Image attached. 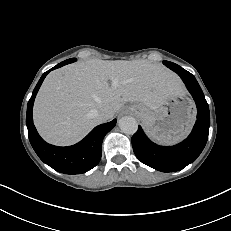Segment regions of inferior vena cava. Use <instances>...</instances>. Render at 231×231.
I'll return each mask as SVG.
<instances>
[{"instance_id": "1", "label": "inferior vena cava", "mask_w": 231, "mask_h": 231, "mask_svg": "<svg viewBox=\"0 0 231 231\" xmlns=\"http://www.w3.org/2000/svg\"><path fill=\"white\" fill-rule=\"evenodd\" d=\"M97 117L99 118L100 122L103 123L112 118V114L107 110H101L98 112Z\"/></svg>"}]
</instances>
